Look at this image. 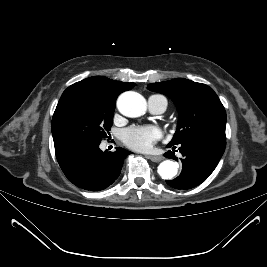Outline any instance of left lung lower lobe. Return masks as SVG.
<instances>
[{"mask_svg": "<svg viewBox=\"0 0 267 267\" xmlns=\"http://www.w3.org/2000/svg\"><path fill=\"white\" fill-rule=\"evenodd\" d=\"M225 146L226 140L215 137L197 138L180 144L183 169L177 178L166 180L167 184L176 189H191L198 186L213 172L224 153ZM174 153L168 151L164 156L177 160Z\"/></svg>", "mask_w": 267, "mask_h": 267, "instance_id": "1", "label": "left lung lower lobe"}]
</instances>
